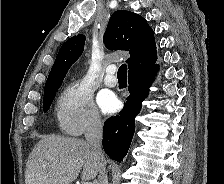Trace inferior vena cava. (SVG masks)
Listing matches in <instances>:
<instances>
[{
	"instance_id": "inferior-vena-cava-1",
	"label": "inferior vena cava",
	"mask_w": 224,
	"mask_h": 184,
	"mask_svg": "<svg viewBox=\"0 0 224 184\" xmlns=\"http://www.w3.org/2000/svg\"><path fill=\"white\" fill-rule=\"evenodd\" d=\"M85 138L87 140L88 145L93 150L94 154L104 162L105 158L102 153V123L97 115L91 117L88 121L85 130ZM98 184H108L105 164L102 165L99 170Z\"/></svg>"
}]
</instances>
